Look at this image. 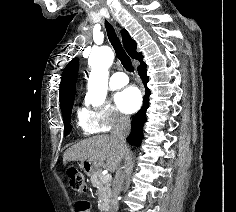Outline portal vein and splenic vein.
<instances>
[{"mask_svg":"<svg viewBox=\"0 0 236 212\" xmlns=\"http://www.w3.org/2000/svg\"><path fill=\"white\" fill-rule=\"evenodd\" d=\"M105 180H111L112 179V175L111 174H107L104 176Z\"/></svg>","mask_w":236,"mask_h":212,"instance_id":"1","label":"portal vein and splenic vein"}]
</instances>
